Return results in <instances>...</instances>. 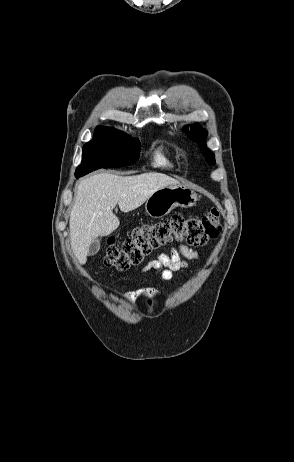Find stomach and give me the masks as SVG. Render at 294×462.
Masks as SVG:
<instances>
[{
  "mask_svg": "<svg viewBox=\"0 0 294 462\" xmlns=\"http://www.w3.org/2000/svg\"><path fill=\"white\" fill-rule=\"evenodd\" d=\"M197 201V194L182 185H168L155 191L145 203L146 213L152 218H161L174 208L192 207Z\"/></svg>",
  "mask_w": 294,
  "mask_h": 462,
  "instance_id": "obj_1",
  "label": "stomach"
}]
</instances>
